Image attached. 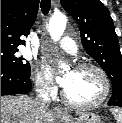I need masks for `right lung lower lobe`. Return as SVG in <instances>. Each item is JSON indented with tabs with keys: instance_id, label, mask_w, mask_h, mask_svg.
<instances>
[{
	"instance_id": "obj_1",
	"label": "right lung lower lobe",
	"mask_w": 122,
	"mask_h": 123,
	"mask_svg": "<svg viewBox=\"0 0 122 123\" xmlns=\"http://www.w3.org/2000/svg\"><path fill=\"white\" fill-rule=\"evenodd\" d=\"M31 90L30 74L1 64V95L27 94Z\"/></svg>"
}]
</instances>
